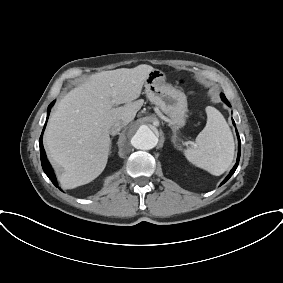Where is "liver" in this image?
I'll list each match as a JSON object with an SVG mask.
<instances>
[{"mask_svg": "<svg viewBox=\"0 0 283 283\" xmlns=\"http://www.w3.org/2000/svg\"><path fill=\"white\" fill-rule=\"evenodd\" d=\"M153 70L141 64L96 73L60 100L49 118L44 144L61 172L64 189L85 185L103 172L111 144L109 129L116 121L127 125L135 118L143 105L136 99Z\"/></svg>", "mask_w": 283, "mask_h": 283, "instance_id": "1", "label": "liver"}]
</instances>
